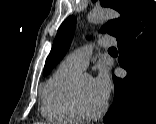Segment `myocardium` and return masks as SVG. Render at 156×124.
Returning <instances> with one entry per match:
<instances>
[{"mask_svg": "<svg viewBox=\"0 0 156 124\" xmlns=\"http://www.w3.org/2000/svg\"><path fill=\"white\" fill-rule=\"evenodd\" d=\"M83 77L84 76H78L71 86L69 93L70 105L80 120H95L103 115L107 109L108 103L105 101L100 109L92 113L83 108L80 99V83Z\"/></svg>", "mask_w": 156, "mask_h": 124, "instance_id": "f54148a6", "label": "myocardium"}]
</instances>
